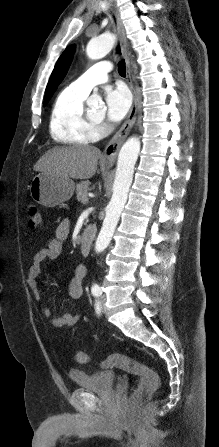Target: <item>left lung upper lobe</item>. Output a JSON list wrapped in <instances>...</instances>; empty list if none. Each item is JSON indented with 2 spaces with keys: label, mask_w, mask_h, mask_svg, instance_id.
Segmentation results:
<instances>
[{
  "label": "left lung upper lobe",
  "mask_w": 219,
  "mask_h": 447,
  "mask_svg": "<svg viewBox=\"0 0 219 447\" xmlns=\"http://www.w3.org/2000/svg\"><path fill=\"white\" fill-rule=\"evenodd\" d=\"M75 50V45H71L65 49L62 55L59 57L54 70L50 76L48 85L46 87L44 105L48 103L53 93L55 92L57 86L60 84L64 78L68 67L71 63L72 56Z\"/></svg>",
  "instance_id": "1"
}]
</instances>
